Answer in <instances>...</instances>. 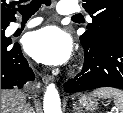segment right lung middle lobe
Returning <instances> with one entry per match:
<instances>
[{"mask_svg":"<svg viewBox=\"0 0 123 113\" xmlns=\"http://www.w3.org/2000/svg\"><path fill=\"white\" fill-rule=\"evenodd\" d=\"M11 42V39L10 38H6L4 36V30H1V43H5V44H8Z\"/></svg>","mask_w":123,"mask_h":113,"instance_id":"1","label":"right lung middle lobe"}]
</instances>
